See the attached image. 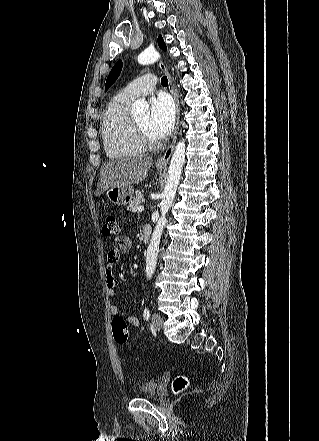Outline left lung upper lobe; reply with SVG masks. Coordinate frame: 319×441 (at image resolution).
Instances as JSON below:
<instances>
[{
  "instance_id": "obj_1",
  "label": "left lung upper lobe",
  "mask_w": 319,
  "mask_h": 441,
  "mask_svg": "<svg viewBox=\"0 0 319 441\" xmlns=\"http://www.w3.org/2000/svg\"><path fill=\"white\" fill-rule=\"evenodd\" d=\"M158 45L159 47L166 51L167 47L166 44L163 41V38L161 35H159L158 37ZM122 69V61H118L114 67L112 68V70L110 71L107 80H106V84H105V91H107L109 89V87L116 81V79L118 78L120 72Z\"/></svg>"
}]
</instances>
